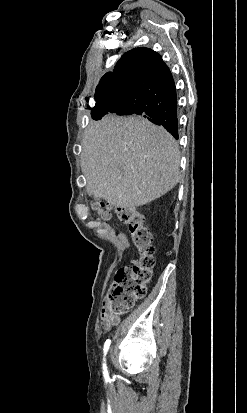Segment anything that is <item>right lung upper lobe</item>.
I'll use <instances>...</instances> for the list:
<instances>
[{
	"mask_svg": "<svg viewBox=\"0 0 247 413\" xmlns=\"http://www.w3.org/2000/svg\"><path fill=\"white\" fill-rule=\"evenodd\" d=\"M161 56L148 48H135L126 52L117 62L113 72L106 73L101 82H127L136 72H153L165 68Z\"/></svg>",
	"mask_w": 247,
	"mask_h": 413,
	"instance_id": "obj_1",
	"label": "right lung upper lobe"
}]
</instances>
